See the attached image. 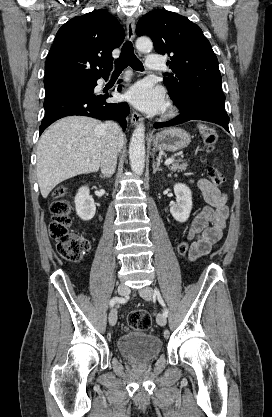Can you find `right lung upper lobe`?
Here are the masks:
<instances>
[{"label":"right lung upper lobe","mask_w":272,"mask_h":417,"mask_svg":"<svg viewBox=\"0 0 272 417\" xmlns=\"http://www.w3.org/2000/svg\"><path fill=\"white\" fill-rule=\"evenodd\" d=\"M124 30L111 14L95 10L77 16L57 32L45 64V89L84 84L111 71L112 50L124 39Z\"/></svg>","instance_id":"1"}]
</instances>
